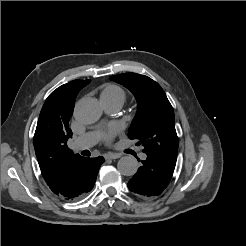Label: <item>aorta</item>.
<instances>
[{"label":"aorta","instance_id":"1","mask_svg":"<svg viewBox=\"0 0 246 246\" xmlns=\"http://www.w3.org/2000/svg\"><path fill=\"white\" fill-rule=\"evenodd\" d=\"M99 102L93 98L79 100L74 108L75 119L82 124H92L101 116ZM118 171L124 176H132L137 172L138 165L131 156H124L117 163Z\"/></svg>","mask_w":246,"mask_h":246}]
</instances>
